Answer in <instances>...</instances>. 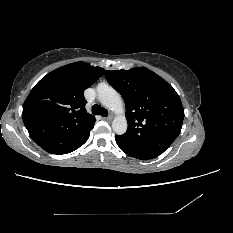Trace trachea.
<instances>
[{
	"label": "trachea",
	"instance_id": "3493384b",
	"mask_svg": "<svg viewBox=\"0 0 233 233\" xmlns=\"http://www.w3.org/2000/svg\"><path fill=\"white\" fill-rule=\"evenodd\" d=\"M92 113L95 115H101L103 117H106L108 115V111L98 104L93 105Z\"/></svg>",
	"mask_w": 233,
	"mask_h": 233
}]
</instances>
